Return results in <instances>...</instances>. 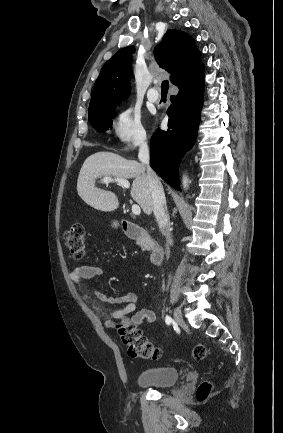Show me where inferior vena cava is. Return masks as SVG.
Returning a JSON list of instances; mask_svg holds the SVG:
<instances>
[{
    "mask_svg": "<svg viewBox=\"0 0 283 433\" xmlns=\"http://www.w3.org/2000/svg\"><path fill=\"white\" fill-rule=\"evenodd\" d=\"M138 156L144 164H147V178L149 180L150 192L153 198V210L160 225L161 233L164 235L167 245H173L172 235L170 233L169 214L167 212L166 198L163 186L154 170L149 164V148L147 142H143L139 148Z\"/></svg>",
    "mask_w": 283,
    "mask_h": 433,
    "instance_id": "inferior-vena-cava-1",
    "label": "inferior vena cava"
}]
</instances>
